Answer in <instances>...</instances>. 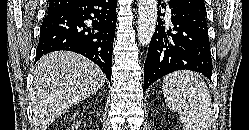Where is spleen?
I'll list each match as a JSON object with an SVG mask.
<instances>
[{
    "mask_svg": "<svg viewBox=\"0 0 249 130\" xmlns=\"http://www.w3.org/2000/svg\"><path fill=\"white\" fill-rule=\"evenodd\" d=\"M162 90L167 106L178 112L183 130L211 128V96L198 73L188 70L171 73L164 77Z\"/></svg>",
    "mask_w": 249,
    "mask_h": 130,
    "instance_id": "3e777b00",
    "label": "spleen"
}]
</instances>
